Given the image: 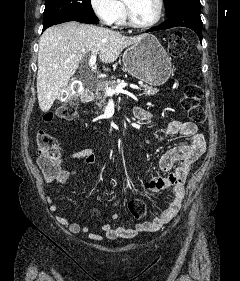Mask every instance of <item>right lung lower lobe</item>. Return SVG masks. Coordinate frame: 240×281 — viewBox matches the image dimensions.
Segmentation results:
<instances>
[{"label":"right lung lower lobe","mask_w":240,"mask_h":281,"mask_svg":"<svg viewBox=\"0 0 240 281\" xmlns=\"http://www.w3.org/2000/svg\"><path fill=\"white\" fill-rule=\"evenodd\" d=\"M68 21H78L81 23H87V24H98V19L95 20H74V19H64V20H60L55 22L54 24H59V23H63V22H68ZM46 29V27H43V31Z\"/></svg>","instance_id":"obj_1"}]
</instances>
